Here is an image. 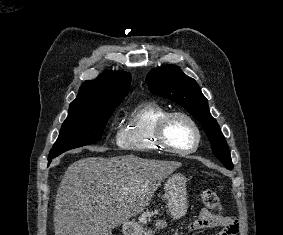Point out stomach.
<instances>
[{
    "label": "stomach",
    "instance_id": "stomach-1",
    "mask_svg": "<svg viewBox=\"0 0 283 235\" xmlns=\"http://www.w3.org/2000/svg\"><path fill=\"white\" fill-rule=\"evenodd\" d=\"M186 177L181 173H175L167 177L164 184V198L167 202L168 212L173 219L182 218L188 209V199L186 191ZM156 229H162L165 226L163 220H157ZM124 235H153L152 230H146L137 222H126L122 226Z\"/></svg>",
    "mask_w": 283,
    "mask_h": 235
}]
</instances>
